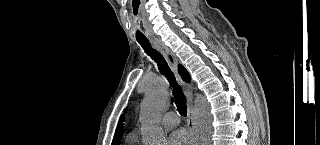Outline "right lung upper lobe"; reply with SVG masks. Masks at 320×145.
<instances>
[{"label":"right lung upper lobe","mask_w":320,"mask_h":145,"mask_svg":"<svg viewBox=\"0 0 320 145\" xmlns=\"http://www.w3.org/2000/svg\"><path fill=\"white\" fill-rule=\"evenodd\" d=\"M179 72L181 73L182 77L184 80H186L187 82L190 81V75L189 73L187 72V70L183 67V66H180L179 67ZM124 119V116L122 115L119 122H118V125H117V128H116V132H115V135H114V139H113V142L112 144H116L118 145L120 139L122 138V121Z\"/></svg>","instance_id":"right-lung-upper-lobe-1"}]
</instances>
